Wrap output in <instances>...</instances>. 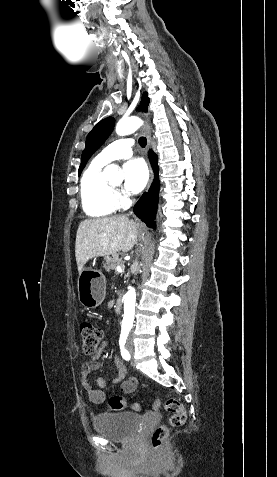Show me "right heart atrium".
<instances>
[{
	"label": "right heart atrium",
	"mask_w": 277,
	"mask_h": 477,
	"mask_svg": "<svg viewBox=\"0 0 277 477\" xmlns=\"http://www.w3.org/2000/svg\"><path fill=\"white\" fill-rule=\"evenodd\" d=\"M115 197H116L117 203H118L119 205H121V206L127 204L128 201H129L128 197H127L125 194L121 193V192L116 193V194H115Z\"/></svg>",
	"instance_id": "right-heart-atrium-1"
}]
</instances>
